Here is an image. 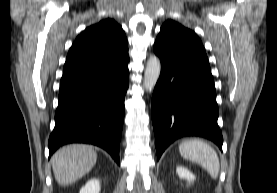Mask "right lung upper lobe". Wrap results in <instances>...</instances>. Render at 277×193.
Here are the masks:
<instances>
[{"instance_id":"cb5924a9","label":"right lung upper lobe","mask_w":277,"mask_h":193,"mask_svg":"<svg viewBox=\"0 0 277 193\" xmlns=\"http://www.w3.org/2000/svg\"><path fill=\"white\" fill-rule=\"evenodd\" d=\"M128 53L127 39L120 25L105 19L86 28L70 48L63 77L107 66Z\"/></svg>"}]
</instances>
